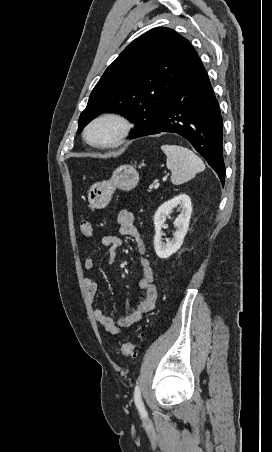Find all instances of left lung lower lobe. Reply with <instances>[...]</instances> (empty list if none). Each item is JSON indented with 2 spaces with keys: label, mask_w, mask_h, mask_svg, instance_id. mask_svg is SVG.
<instances>
[{
  "label": "left lung lower lobe",
  "mask_w": 272,
  "mask_h": 452,
  "mask_svg": "<svg viewBox=\"0 0 272 452\" xmlns=\"http://www.w3.org/2000/svg\"><path fill=\"white\" fill-rule=\"evenodd\" d=\"M160 132L178 133L186 138L216 171L224 185L222 116L198 54L176 84L158 122L133 131L129 138Z\"/></svg>",
  "instance_id": "0a47b994"
}]
</instances>
